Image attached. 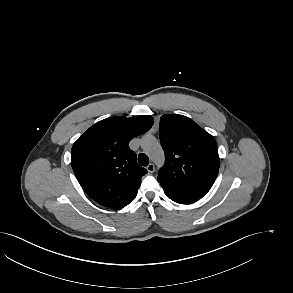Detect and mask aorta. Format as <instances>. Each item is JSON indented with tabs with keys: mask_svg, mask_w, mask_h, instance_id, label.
Here are the masks:
<instances>
[{
	"mask_svg": "<svg viewBox=\"0 0 293 293\" xmlns=\"http://www.w3.org/2000/svg\"><path fill=\"white\" fill-rule=\"evenodd\" d=\"M143 148L148 151V153L155 158L156 154H162L160 146L154 137L148 136L143 139Z\"/></svg>",
	"mask_w": 293,
	"mask_h": 293,
	"instance_id": "1",
	"label": "aorta"
}]
</instances>
